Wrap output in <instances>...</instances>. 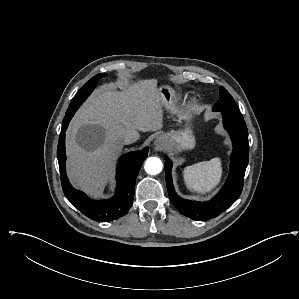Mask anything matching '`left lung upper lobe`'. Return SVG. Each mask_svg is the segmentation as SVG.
<instances>
[{
    "label": "left lung upper lobe",
    "instance_id": "1",
    "mask_svg": "<svg viewBox=\"0 0 299 299\" xmlns=\"http://www.w3.org/2000/svg\"><path fill=\"white\" fill-rule=\"evenodd\" d=\"M214 111H227L233 113L235 115L242 116L239 111L233 97L229 94V92L223 87H220V99L213 107Z\"/></svg>",
    "mask_w": 299,
    "mask_h": 299
}]
</instances>
